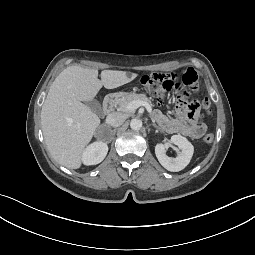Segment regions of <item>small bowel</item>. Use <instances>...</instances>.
<instances>
[{
	"label": "small bowel",
	"mask_w": 255,
	"mask_h": 255,
	"mask_svg": "<svg viewBox=\"0 0 255 255\" xmlns=\"http://www.w3.org/2000/svg\"><path fill=\"white\" fill-rule=\"evenodd\" d=\"M154 117L169 133H179L193 139L203 136L206 127L197 120V114L189 112L182 106H178L176 118H169L160 112H155Z\"/></svg>",
	"instance_id": "1"
}]
</instances>
